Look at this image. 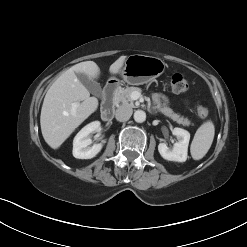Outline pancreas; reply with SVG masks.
<instances>
[{
	"mask_svg": "<svg viewBox=\"0 0 247 247\" xmlns=\"http://www.w3.org/2000/svg\"><path fill=\"white\" fill-rule=\"evenodd\" d=\"M133 92L141 93L142 90L141 88L138 87L118 88L114 97L115 103L117 104L121 103L122 105H128L134 107L133 99L131 98V94ZM154 103H155V108H157L165 116L171 118L173 121L182 124L183 126L193 125V123H191V121L188 118H185L179 114L174 113L173 110L170 108L164 107L159 99H156Z\"/></svg>",
	"mask_w": 247,
	"mask_h": 247,
	"instance_id": "pancreas-1",
	"label": "pancreas"
}]
</instances>
